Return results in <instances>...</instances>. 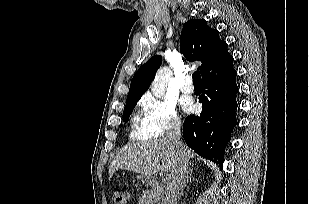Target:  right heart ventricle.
Instances as JSON below:
<instances>
[{
	"label": "right heart ventricle",
	"mask_w": 309,
	"mask_h": 204,
	"mask_svg": "<svg viewBox=\"0 0 309 204\" xmlns=\"http://www.w3.org/2000/svg\"><path fill=\"white\" fill-rule=\"evenodd\" d=\"M133 123H134L135 128L137 130H139L141 128V125H142V119H139L138 116H135L134 120H133Z\"/></svg>",
	"instance_id": "1"
}]
</instances>
